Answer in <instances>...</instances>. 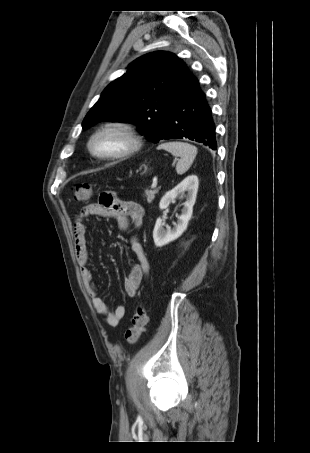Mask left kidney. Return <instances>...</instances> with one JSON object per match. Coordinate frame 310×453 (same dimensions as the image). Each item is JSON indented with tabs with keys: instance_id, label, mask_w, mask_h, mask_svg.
<instances>
[{
	"instance_id": "5707ae66",
	"label": "left kidney",
	"mask_w": 310,
	"mask_h": 453,
	"mask_svg": "<svg viewBox=\"0 0 310 453\" xmlns=\"http://www.w3.org/2000/svg\"><path fill=\"white\" fill-rule=\"evenodd\" d=\"M198 185V177L196 175H190L162 197L159 203V208L164 210L168 208L170 203L175 202V199L180 194L187 192L185 195L186 201L183 203L184 207L181 210L182 213L178 217L177 223L174 224L172 229L169 227L165 229V223L161 218L156 220L153 230V239L157 247H162L176 240L187 229L188 222L193 213V206L196 201Z\"/></svg>"
}]
</instances>
